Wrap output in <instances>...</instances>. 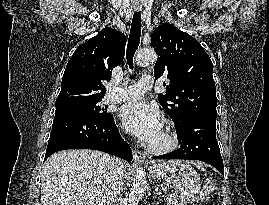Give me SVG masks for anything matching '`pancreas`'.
<instances>
[{
	"label": "pancreas",
	"mask_w": 269,
	"mask_h": 205,
	"mask_svg": "<svg viewBox=\"0 0 269 205\" xmlns=\"http://www.w3.org/2000/svg\"><path fill=\"white\" fill-rule=\"evenodd\" d=\"M166 205H185L183 201L177 196H170Z\"/></svg>",
	"instance_id": "pancreas-1"
}]
</instances>
